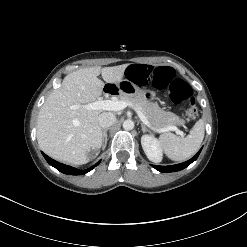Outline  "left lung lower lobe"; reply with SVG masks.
I'll return each mask as SVG.
<instances>
[{
  "label": "left lung lower lobe",
  "instance_id": "obj_1",
  "mask_svg": "<svg viewBox=\"0 0 247 247\" xmlns=\"http://www.w3.org/2000/svg\"><path fill=\"white\" fill-rule=\"evenodd\" d=\"M201 152V149L199 150V152L192 157L190 160L180 163V164H176V165H170V166H158V165H152L156 170L160 171V172H175V171H179L182 170L184 168H186L187 166H189L192 162H194L197 157L199 156Z\"/></svg>",
  "mask_w": 247,
  "mask_h": 247
}]
</instances>
